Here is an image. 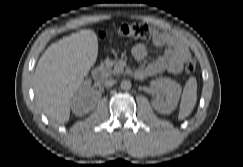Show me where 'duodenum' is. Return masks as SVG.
<instances>
[{
  "mask_svg": "<svg viewBox=\"0 0 243 167\" xmlns=\"http://www.w3.org/2000/svg\"><path fill=\"white\" fill-rule=\"evenodd\" d=\"M92 78L98 83H101L104 80V71L100 66L93 69Z\"/></svg>",
  "mask_w": 243,
  "mask_h": 167,
  "instance_id": "duodenum-1",
  "label": "duodenum"
}]
</instances>
